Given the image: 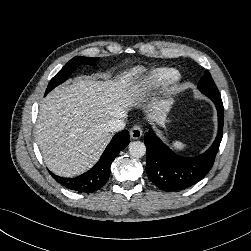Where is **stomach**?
Instances as JSON below:
<instances>
[{"instance_id": "0dacf381", "label": "stomach", "mask_w": 251, "mask_h": 251, "mask_svg": "<svg viewBox=\"0 0 251 251\" xmlns=\"http://www.w3.org/2000/svg\"><path fill=\"white\" fill-rule=\"evenodd\" d=\"M167 120L164 118L163 122L162 123H165Z\"/></svg>"}]
</instances>
